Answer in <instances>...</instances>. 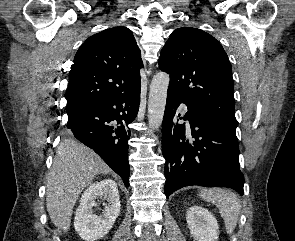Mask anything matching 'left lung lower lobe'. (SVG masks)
I'll use <instances>...</instances> for the list:
<instances>
[{
	"label": "left lung lower lobe",
	"instance_id": "obj_1",
	"mask_svg": "<svg viewBox=\"0 0 295 241\" xmlns=\"http://www.w3.org/2000/svg\"><path fill=\"white\" fill-rule=\"evenodd\" d=\"M181 103L185 102L168 90L162 124L166 197L190 185L228 187L243 195L236 128L187 105L188 132L178 123L176 109Z\"/></svg>",
	"mask_w": 295,
	"mask_h": 241
}]
</instances>
